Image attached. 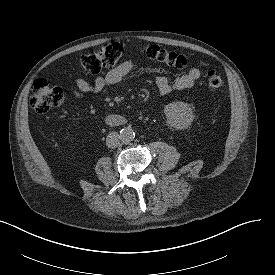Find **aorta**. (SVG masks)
Wrapping results in <instances>:
<instances>
[{
    "label": "aorta",
    "mask_w": 275,
    "mask_h": 275,
    "mask_svg": "<svg viewBox=\"0 0 275 275\" xmlns=\"http://www.w3.org/2000/svg\"><path fill=\"white\" fill-rule=\"evenodd\" d=\"M120 140L129 143L135 138V131L131 127H125L120 131Z\"/></svg>",
    "instance_id": "762f6f07"
}]
</instances>
